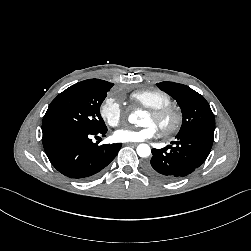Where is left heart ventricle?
<instances>
[{"label": "left heart ventricle", "mask_w": 251, "mask_h": 251, "mask_svg": "<svg viewBox=\"0 0 251 251\" xmlns=\"http://www.w3.org/2000/svg\"><path fill=\"white\" fill-rule=\"evenodd\" d=\"M144 124H153L155 125L157 128L159 126V123H157L152 117L150 114H147L146 117L144 118V121H143Z\"/></svg>", "instance_id": "b2bd125f"}]
</instances>
